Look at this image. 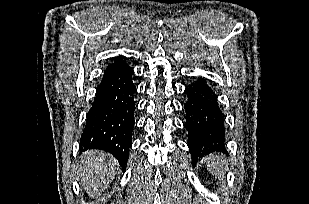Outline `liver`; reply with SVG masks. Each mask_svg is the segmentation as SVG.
I'll return each mask as SVG.
<instances>
[{
  "instance_id": "6515ba94",
  "label": "liver",
  "mask_w": 309,
  "mask_h": 204,
  "mask_svg": "<svg viewBox=\"0 0 309 204\" xmlns=\"http://www.w3.org/2000/svg\"><path fill=\"white\" fill-rule=\"evenodd\" d=\"M118 170L116 159L104 151H88L77 164V175L90 197L98 196Z\"/></svg>"
}]
</instances>
